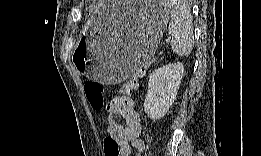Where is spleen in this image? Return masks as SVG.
I'll use <instances>...</instances> for the list:
<instances>
[{
    "label": "spleen",
    "mask_w": 261,
    "mask_h": 156,
    "mask_svg": "<svg viewBox=\"0 0 261 156\" xmlns=\"http://www.w3.org/2000/svg\"><path fill=\"white\" fill-rule=\"evenodd\" d=\"M170 8L168 31L171 49L177 55L188 56L194 46L193 20L190 8L183 1L168 2Z\"/></svg>",
    "instance_id": "1"
}]
</instances>
